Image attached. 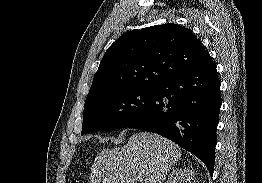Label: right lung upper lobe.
<instances>
[{"label":"right lung upper lobe","instance_id":"right-lung-upper-lobe-1","mask_svg":"<svg viewBox=\"0 0 262 183\" xmlns=\"http://www.w3.org/2000/svg\"><path fill=\"white\" fill-rule=\"evenodd\" d=\"M211 60L191 30L177 24L128 31L107 49L86 101L130 88H157Z\"/></svg>","mask_w":262,"mask_h":183}]
</instances>
